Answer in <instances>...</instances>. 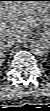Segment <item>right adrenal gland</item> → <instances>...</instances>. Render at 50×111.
<instances>
[{"instance_id": "obj_1", "label": "right adrenal gland", "mask_w": 50, "mask_h": 111, "mask_svg": "<svg viewBox=\"0 0 50 111\" xmlns=\"http://www.w3.org/2000/svg\"><path fill=\"white\" fill-rule=\"evenodd\" d=\"M4 52L1 54V57L3 58L2 60H5V54H4Z\"/></svg>"}]
</instances>
